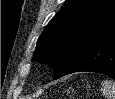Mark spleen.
I'll use <instances>...</instances> for the list:
<instances>
[{"label": "spleen", "instance_id": "3e777b00", "mask_svg": "<svg viewBox=\"0 0 115 99\" xmlns=\"http://www.w3.org/2000/svg\"><path fill=\"white\" fill-rule=\"evenodd\" d=\"M102 94L106 99H115V82L112 80H104L101 83Z\"/></svg>", "mask_w": 115, "mask_h": 99}]
</instances>
